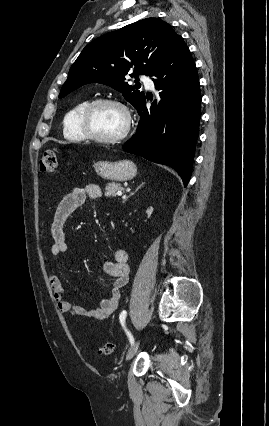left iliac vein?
<instances>
[{"label":"left iliac vein","instance_id":"left-iliac-vein-1","mask_svg":"<svg viewBox=\"0 0 269 426\" xmlns=\"http://www.w3.org/2000/svg\"><path fill=\"white\" fill-rule=\"evenodd\" d=\"M139 344H140V341L138 340L131 346V348L129 349V351L126 355L127 361L131 360L134 357V355L136 354V352L139 348Z\"/></svg>","mask_w":269,"mask_h":426}]
</instances>
